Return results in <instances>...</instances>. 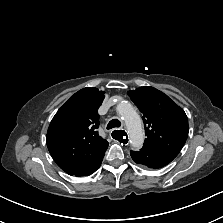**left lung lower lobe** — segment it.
Here are the masks:
<instances>
[{"instance_id":"0a47b994","label":"left lung lower lobe","mask_w":223,"mask_h":223,"mask_svg":"<svg viewBox=\"0 0 223 223\" xmlns=\"http://www.w3.org/2000/svg\"><path fill=\"white\" fill-rule=\"evenodd\" d=\"M130 155L135 163L153 169L161 168L175 158L168 153L144 146L139 151H131Z\"/></svg>"}]
</instances>
